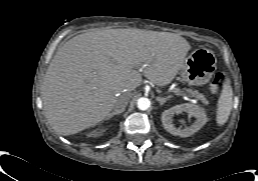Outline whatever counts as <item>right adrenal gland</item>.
I'll use <instances>...</instances> for the list:
<instances>
[{
    "label": "right adrenal gland",
    "instance_id": "2a0ac1e0",
    "mask_svg": "<svg viewBox=\"0 0 258 181\" xmlns=\"http://www.w3.org/2000/svg\"><path fill=\"white\" fill-rule=\"evenodd\" d=\"M122 112H124V110H118V109H114L108 116L105 120H109L110 118H112L113 116L115 115H119L121 114Z\"/></svg>",
    "mask_w": 258,
    "mask_h": 181
}]
</instances>
